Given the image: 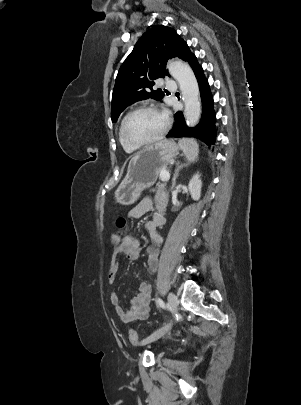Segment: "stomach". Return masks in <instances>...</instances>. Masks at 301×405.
<instances>
[{"label":"stomach","instance_id":"obj_1","mask_svg":"<svg viewBox=\"0 0 301 405\" xmlns=\"http://www.w3.org/2000/svg\"><path fill=\"white\" fill-rule=\"evenodd\" d=\"M178 152L179 147L174 141L161 140L135 154L115 192L117 203L130 205L136 202L144 189L155 184L160 170L166 168Z\"/></svg>","mask_w":301,"mask_h":405}]
</instances>
